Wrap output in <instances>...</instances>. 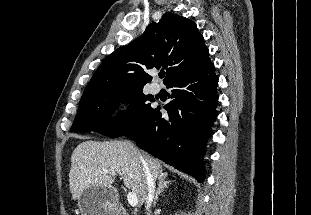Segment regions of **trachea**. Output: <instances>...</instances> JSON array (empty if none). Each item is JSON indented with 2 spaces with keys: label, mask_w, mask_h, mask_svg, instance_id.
<instances>
[{
  "label": "trachea",
  "mask_w": 311,
  "mask_h": 215,
  "mask_svg": "<svg viewBox=\"0 0 311 215\" xmlns=\"http://www.w3.org/2000/svg\"><path fill=\"white\" fill-rule=\"evenodd\" d=\"M164 76H165V73H160V74H159V77H160V78H163Z\"/></svg>",
  "instance_id": "obj_1"
}]
</instances>
